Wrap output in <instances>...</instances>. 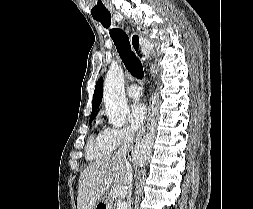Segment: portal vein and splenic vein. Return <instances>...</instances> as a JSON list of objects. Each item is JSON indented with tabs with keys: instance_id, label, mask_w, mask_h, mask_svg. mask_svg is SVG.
Here are the masks:
<instances>
[{
	"instance_id": "obj_1",
	"label": "portal vein and splenic vein",
	"mask_w": 253,
	"mask_h": 209,
	"mask_svg": "<svg viewBox=\"0 0 253 209\" xmlns=\"http://www.w3.org/2000/svg\"><path fill=\"white\" fill-rule=\"evenodd\" d=\"M120 187H116L115 189H114V194H118L119 193V191H120ZM127 208V203H125V202H122V203H120L119 205H118V207H117V209H126Z\"/></svg>"
}]
</instances>
